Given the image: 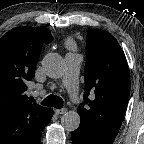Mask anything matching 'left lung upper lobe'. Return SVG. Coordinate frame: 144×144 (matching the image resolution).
<instances>
[{
    "instance_id": "obj_1",
    "label": "left lung upper lobe",
    "mask_w": 144,
    "mask_h": 144,
    "mask_svg": "<svg viewBox=\"0 0 144 144\" xmlns=\"http://www.w3.org/2000/svg\"><path fill=\"white\" fill-rule=\"evenodd\" d=\"M86 54L84 102L77 109L80 126L95 136L114 140L130 94L127 61L116 39L98 29L87 33Z\"/></svg>"
}]
</instances>
